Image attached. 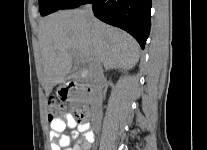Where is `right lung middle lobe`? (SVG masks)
Instances as JSON below:
<instances>
[{
  "instance_id": "1",
  "label": "right lung middle lobe",
  "mask_w": 207,
  "mask_h": 150,
  "mask_svg": "<svg viewBox=\"0 0 207 150\" xmlns=\"http://www.w3.org/2000/svg\"><path fill=\"white\" fill-rule=\"evenodd\" d=\"M67 0H39V9L42 16L59 10Z\"/></svg>"
}]
</instances>
